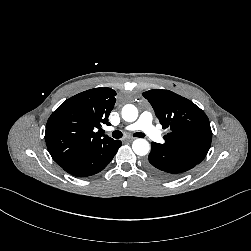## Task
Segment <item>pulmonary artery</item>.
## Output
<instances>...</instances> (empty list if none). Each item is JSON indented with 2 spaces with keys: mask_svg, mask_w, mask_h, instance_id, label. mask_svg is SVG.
<instances>
[{
  "mask_svg": "<svg viewBox=\"0 0 251 251\" xmlns=\"http://www.w3.org/2000/svg\"><path fill=\"white\" fill-rule=\"evenodd\" d=\"M152 114L148 111H144L138 120L130 125L124 127L126 131L140 130L144 132L151 140L155 142H161V133L154 127L152 123Z\"/></svg>",
  "mask_w": 251,
  "mask_h": 251,
  "instance_id": "pulmonary-artery-1",
  "label": "pulmonary artery"
}]
</instances>
